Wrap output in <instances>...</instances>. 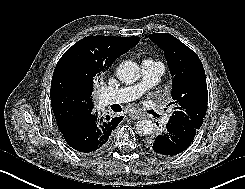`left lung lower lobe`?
<instances>
[{
  "instance_id": "1",
  "label": "left lung lower lobe",
  "mask_w": 245,
  "mask_h": 189,
  "mask_svg": "<svg viewBox=\"0 0 245 189\" xmlns=\"http://www.w3.org/2000/svg\"><path fill=\"white\" fill-rule=\"evenodd\" d=\"M196 130L169 121L166 128L150 141V148L161 155H177L188 148L194 140Z\"/></svg>"
}]
</instances>
